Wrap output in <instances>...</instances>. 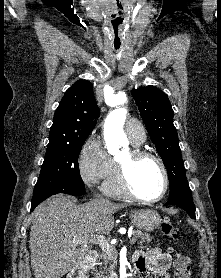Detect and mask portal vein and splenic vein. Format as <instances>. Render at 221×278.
Returning <instances> with one entry per match:
<instances>
[{"instance_id": "1", "label": "portal vein and splenic vein", "mask_w": 221, "mask_h": 278, "mask_svg": "<svg viewBox=\"0 0 221 278\" xmlns=\"http://www.w3.org/2000/svg\"><path fill=\"white\" fill-rule=\"evenodd\" d=\"M74 243L77 244H83V243H97L102 250H106L109 254H111L112 251V245L108 243V241L105 239L102 235H91L88 238L81 239V240H74ZM134 238L130 239V243H134Z\"/></svg>"}]
</instances>
